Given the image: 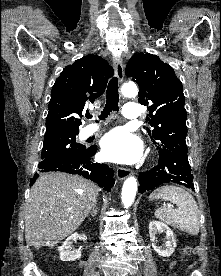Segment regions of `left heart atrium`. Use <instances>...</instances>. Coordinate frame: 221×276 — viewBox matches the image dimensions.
<instances>
[{
	"instance_id": "39dd6f15",
	"label": "left heart atrium",
	"mask_w": 221,
	"mask_h": 276,
	"mask_svg": "<svg viewBox=\"0 0 221 276\" xmlns=\"http://www.w3.org/2000/svg\"><path fill=\"white\" fill-rule=\"evenodd\" d=\"M101 153L105 160L131 164L139 160L142 145L139 139L124 128H115L101 141Z\"/></svg>"
}]
</instances>
